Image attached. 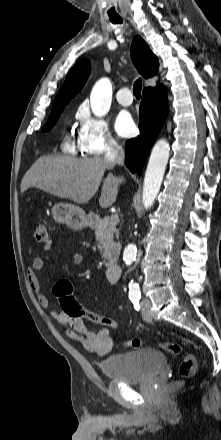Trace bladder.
I'll return each instance as SVG.
<instances>
[{
	"label": "bladder",
	"instance_id": "1",
	"mask_svg": "<svg viewBox=\"0 0 221 440\" xmlns=\"http://www.w3.org/2000/svg\"><path fill=\"white\" fill-rule=\"evenodd\" d=\"M167 364L163 353L143 348L112 356L100 363L104 376L119 383L145 382L158 375Z\"/></svg>",
	"mask_w": 221,
	"mask_h": 440
}]
</instances>
